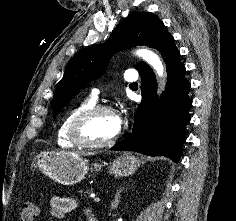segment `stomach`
<instances>
[{"mask_svg":"<svg viewBox=\"0 0 236 221\" xmlns=\"http://www.w3.org/2000/svg\"><path fill=\"white\" fill-rule=\"evenodd\" d=\"M35 163L43 174L63 185L80 182L89 171L88 161L72 152H42L37 155ZM138 166V158L122 155L111 162L109 169L117 177H126L132 175ZM101 167V164H94L96 171L101 170Z\"/></svg>","mask_w":236,"mask_h":221,"instance_id":"stomach-1","label":"stomach"}]
</instances>
